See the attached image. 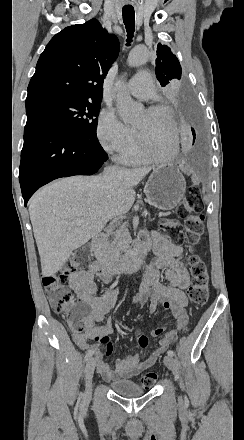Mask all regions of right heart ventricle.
<instances>
[{
  "instance_id": "obj_1",
  "label": "right heart ventricle",
  "mask_w": 244,
  "mask_h": 440,
  "mask_svg": "<svg viewBox=\"0 0 244 440\" xmlns=\"http://www.w3.org/2000/svg\"><path fill=\"white\" fill-rule=\"evenodd\" d=\"M170 123L171 122H169V124ZM139 137L140 136L138 135V138ZM147 149L148 147L146 145L140 147L139 143L137 142L134 149L120 153V155L117 157V160L126 165H148L152 162V155Z\"/></svg>"
}]
</instances>
